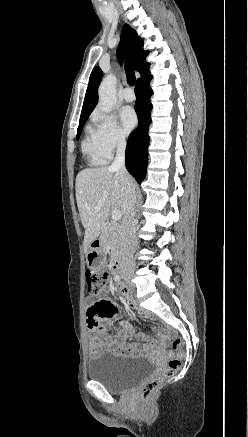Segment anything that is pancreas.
I'll return each instance as SVG.
<instances>
[{"label": "pancreas", "instance_id": "obj_1", "mask_svg": "<svg viewBox=\"0 0 248 437\" xmlns=\"http://www.w3.org/2000/svg\"><path fill=\"white\" fill-rule=\"evenodd\" d=\"M104 244L111 249V257H115L122 245L121 226L109 224L103 232Z\"/></svg>", "mask_w": 248, "mask_h": 437}]
</instances>
